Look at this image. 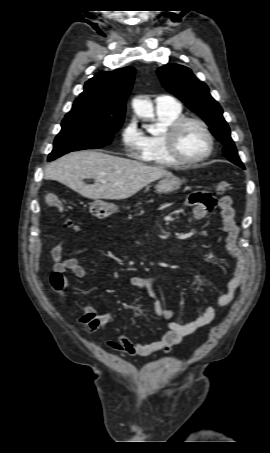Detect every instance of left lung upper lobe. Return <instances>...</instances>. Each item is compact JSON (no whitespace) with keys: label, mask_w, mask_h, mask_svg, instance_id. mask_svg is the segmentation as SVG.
I'll list each match as a JSON object with an SVG mask.
<instances>
[{"label":"left lung upper lobe","mask_w":270,"mask_h":453,"mask_svg":"<svg viewBox=\"0 0 270 453\" xmlns=\"http://www.w3.org/2000/svg\"><path fill=\"white\" fill-rule=\"evenodd\" d=\"M157 74L167 91L207 123L212 134L224 145L223 153L227 159L244 168L223 118V110L210 95L207 85L199 81L189 68L178 64L162 66L158 68Z\"/></svg>","instance_id":"obj_1"}]
</instances>
